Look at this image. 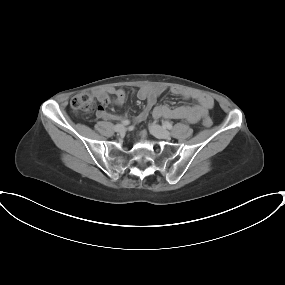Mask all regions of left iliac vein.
Segmentation results:
<instances>
[{
  "instance_id": "obj_1",
  "label": "left iliac vein",
  "mask_w": 285,
  "mask_h": 285,
  "mask_svg": "<svg viewBox=\"0 0 285 285\" xmlns=\"http://www.w3.org/2000/svg\"><path fill=\"white\" fill-rule=\"evenodd\" d=\"M151 133L159 139H170L171 134L165 128L157 124L150 125Z\"/></svg>"
}]
</instances>
